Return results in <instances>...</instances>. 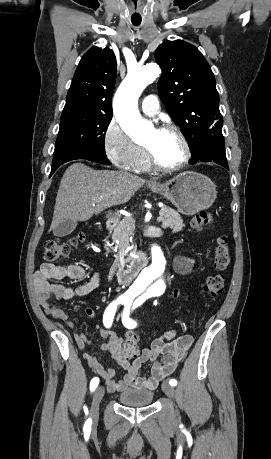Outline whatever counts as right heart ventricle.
<instances>
[{
  "label": "right heart ventricle",
  "instance_id": "obj_1",
  "mask_svg": "<svg viewBox=\"0 0 271 459\" xmlns=\"http://www.w3.org/2000/svg\"><path fill=\"white\" fill-rule=\"evenodd\" d=\"M141 146L143 148L141 155L136 158L130 165V169L136 172H145L152 168V163L147 155L145 147L143 145Z\"/></svg>",
  "mask_w": 271,
  "mask_h": 459
}]
</instances>
